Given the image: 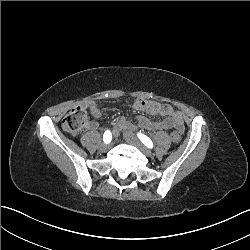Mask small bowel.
Listing matches in <instances>:
<instances>
[{"mask_svg": "<svg viewBox=\"0 0 250 250\" xmlns=\"http://www.w3.org/2000/svg\"><path fill=\"white\" fill-rule=\"evenodd\" d=\"M133 108L138 111H144L150 115H160L162 120L153 121L147 117H139L138 124L140 127L150 131L173 130L180 134L184 131V122L179 111L169 104H162L157 101H145L137 99L133 102ZM83 109L89 110L96 117L100 116L101 111L98 104L94 101L84 103ZM98 127L96 122L87 123V128L94 130ZM122 128L125 131H133L135 126L126 117L121 116L115 126V129Z\"/></svg>", "mask_w": 250, "mask_h": 250, "instance_id": "obj_1", "label": "small bowel"}]
</instances>
